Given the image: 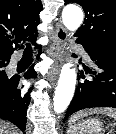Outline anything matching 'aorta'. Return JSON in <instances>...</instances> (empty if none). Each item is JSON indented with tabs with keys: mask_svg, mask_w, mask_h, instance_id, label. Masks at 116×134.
Listing matches in <instances>:
<instances>
[{
	"mask_svg": "<svg viewBox=\"0 0 116 134\" xmlns=\"http://www.w3.org/2000/svg\"><path fill=\"white\" fill-rule=\"evenodd\" d=\"M83 17V11L76 5H68L62 12L63 24L70 31H76L79 28ZM76 77L73 64L71 62L64 64L53 98V109L57 114L64 112L69 106L75 91Z\"/></svg>",
	"mask_w": 116,
	"mask_h": 134,
	"instance_id": "aorta-1",
	"label": "aorta"
}]
</instances>
